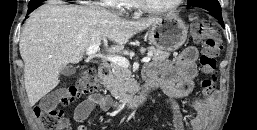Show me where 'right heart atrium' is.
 I'll return each mask as SVG.
<instances>
[{
	"instance_id": "d8ad5b80",
	"label": "right heart atrium",
	"mask_w": 257,
	"mask_h": 130,
	"mask_svg": "<svg viewBox=\"0 0 257 130\" xmlns=\"http://www.w3.org/2000/svg\"><path fill=\"white\" fill-rule=\"evenodd\" d=\"M128 1L129 0H101L100 4L105 7L122 10L127 6Z\"/></svg>"
}]
</instances>
